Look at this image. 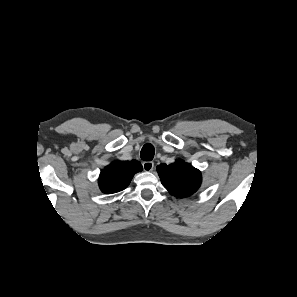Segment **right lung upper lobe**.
I'll use <instances>...</instances> for the list:
<instances>
[{"label":"right lung upper lobe","mask_w":297,"mask_h":297,"mask_svg":"<svg viewBox=\"0 0 297 297\" xmlns=\"http://www.w3.org/2000/svg\"><path fill=\"white\" fill-rule=\"evenodd\" d=\"M142 171L138 161H115L105 167L99 176V186L102 192L112 194L125 189L134 174Z\"/></svg>","instance_id":"right-lung-upper-lobe-1"}]
</instances>
